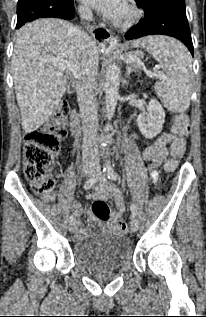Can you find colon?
Returning a JSON list of instances; mask_svg holds the SVG:
<instances>
[{"label":"colon","mask_w":206,"mask_h":317,"mask_svg":"<svg viewBox=\"0 0 206 317\" xmlns=\"http://www.w3.org/2000/svg\"><path fill=\"white\" fill-rule=\"evenodd\" d=\"M70 116L71 112L68 106L61 104L52 121L25 136L23 155L25 176L31 183L33 191L39 196L47 197L54 190L55 182L51 177V169L61 142L67 135L66 123ZM172 131L178 138L171 146L170 159L166 163L169 170L175 168L185 151L183 138L189 132V119L186 114L174 115ZM92 211L94 216L101 221L111 219V211L104 201H95ZM111 228L121 234L128 230L127 225L121 221L114 222Z\"/></svg>","instance_id":"1"}]
</instances>
